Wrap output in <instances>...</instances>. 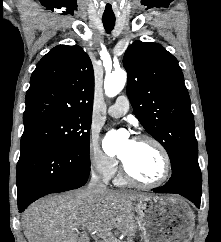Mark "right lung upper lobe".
Returning <instances> with one entry per match:
<instances>
[{
	"label": "right lung upper lobe",
	"mask_w": 221,
	"mask_h": 242,
	"mask_svg": "<svg viewBox=\"0 0 221 242\" xmlns=\"http://www.w3.org/2000/svg\"><path fill=\"white\" fill-rule=\"evenodd\" d=\"M94 71L77 46L58 45L37 64L26 93L24 126L46 119L92 116Z\"/></svg>",
	"instance_id": "obj_1"
}]
</instances>
